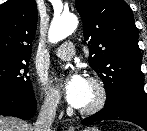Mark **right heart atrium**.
Wrapping results in <instances>:
<instances>
[{
	"mask_svg": "<svg viewBox=\"0 0 147 131\" xmlns=\"http://www.w3.org/2000/svg\"><path fill=\"white\" fill-rule=\"evenodd\" d=\"M41 109L44 113L53 115L56 113L59 106L58 96L51 91L47 86H40Z\"/></svg>",
	"mask_w": 147,
	"mask_h": 131,
	"instance_id": "obj_1",
	"label": "right heart atrium"
}]
</instances>
